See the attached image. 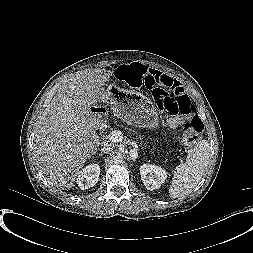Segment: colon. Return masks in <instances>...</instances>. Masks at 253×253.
Returning <instances> with one entry per match:
<instances>
[{"instance_id":"obj_1","label":"colon","mask_w":253,"mask_h":253,"mask_svg":"<svg viewBox=\"0 0 253 253\" xmlns=\"http://www.w3.org/2000/svg\"><path fill=\"white\" fill-rule=\"evenodd\" d=\"M147 68L139 63L121 65L116 70V77L127 85L139 88L143 86V79ZM152 96L160 110L168 117L180 116L185 118L181 143L184 148L196 144L202 135L204 126L199 117L195 115V107L191 99L181 87H156Z\"/></svg>"}]
</instances>
